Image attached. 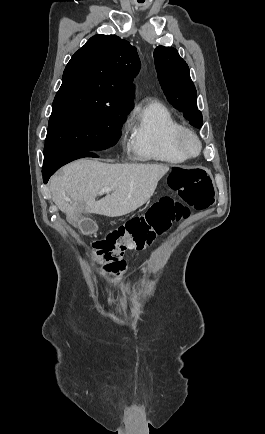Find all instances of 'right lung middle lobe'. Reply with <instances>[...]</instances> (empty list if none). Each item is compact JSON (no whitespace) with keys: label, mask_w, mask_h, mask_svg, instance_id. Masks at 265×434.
I'll return each mask as SVG.
<instances>
[{"label":"right lung middle lobe","mask_w":265,"mask_h":434,"mask_svg":"<svg viewBox=\"0 0 265 434\" xmlns=\"http://www.w3.org/2000/svg\"><path fill=\"white\" fill-rule=\"evenodd\" d=\"M133 102L90 84L61 85L53 101L44 157L114 146Z\"/></svg>","instance_id":"right-lung-middle-lobe-1"}]
</instances>
